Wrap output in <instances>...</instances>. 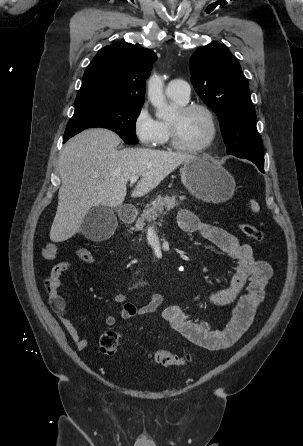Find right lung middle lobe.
<instances>
[{
  "label": "right lung middle lobe",
  "instance_id": "right-lung-middle-lobe-1",
  "mask_svg": "<svg viewBox=\"0 0 303 446\" xmlns=\"http://www.w3.org/2000/svg\"><path fill=\"white\" fill-rule=\"evenodd\" d=\"M141 107L122 103H95L75 107L63 142L84 129L101 127L113 130L128 144H136L135 122Z\"/></svg>",
  "mask_w": 303,
  "mask_h": 446
}]
</instances>
